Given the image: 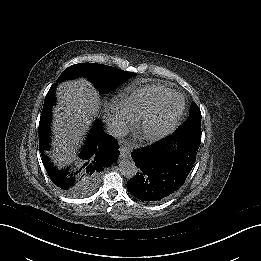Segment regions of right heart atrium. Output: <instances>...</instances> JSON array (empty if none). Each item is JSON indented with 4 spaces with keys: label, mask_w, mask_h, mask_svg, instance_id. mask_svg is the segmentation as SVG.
<instances>
[{
    "label": "right heart atrium",
    "mask_w": 261,
    "mask_h": 261,
    "mask_svg": "<svg viewBox=\"0 0 261 261\" xmlns=\"http://www.w3.org/2000/svg\"><path fill=\"white\" fill-rule=\"evenodd\" d=\"M110 121L113 131L117 134L124 133L129 128L126 116L114 106L110 107Z\"/></svg>",
    "instance_id": "1"
}]
</instances>
